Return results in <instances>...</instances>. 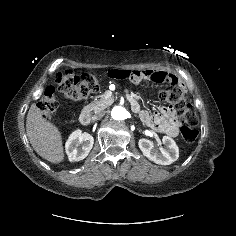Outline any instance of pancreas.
I'll list each match as a JSON object with an SVG mask.
<instances>
[{"label":"pancreas","mask_w":236,"mask_h":236,"mask_svg":"<svg viewBox=\"0 0 236 236\" xmlns=\"http://www.w3.org/2000/svg\"><path fill=\"white\" fill-rule=\"evenodd\" d=\"M113 99H106L104 96H101L100 99H98L95 102L90 103L89 105H86L84 107V110L91 112L93 111L94 113H98L101 110L107 108L111 103Z\"/></svg>","instance_id":"obj_1"}]
</instances>
